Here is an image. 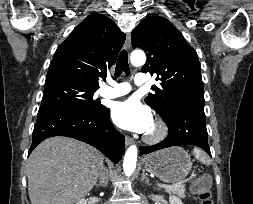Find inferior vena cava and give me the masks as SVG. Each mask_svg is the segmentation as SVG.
Segmentation results:
<instances>
[{
  "label": "inferior vena cava",
  "instance_id": "inferior-vena-cava-1",
  "mask_svg": "<svg viewBox=\"0 0 253 204\" xmlns=\"http://www.w3.org/2000/svg\"><path fill=\"white\" fill-rule=\"evenodd\" d=\"M105 180H106V174H105V172H102L101 173V181L105 182Z\"/></svg>",
  "mask_w": 253,
  "mask_h": 204
}]
</instances>
